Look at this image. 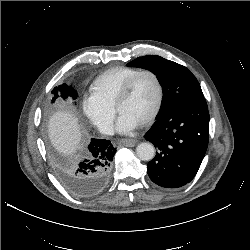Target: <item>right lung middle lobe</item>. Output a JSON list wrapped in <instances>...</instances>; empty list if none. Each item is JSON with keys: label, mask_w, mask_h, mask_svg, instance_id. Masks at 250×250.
Returning a JSON list of instances; mask_svg holds the SVG:
<instances>
[{"label": "right lung middle lobe", "mask_w": 250, "mask_h": 250, "mask_svg": "<svg viewBox=\"0 0 250 250\" xmlns=\"http://www.w3.org/2000/svg\"><path fill=\"white\" fill-rule=\"evenodd\" d=\"M52 93L54 95L52 102H54L59 96H61L63 99L67 98L68 96H71L73 99L77 98V93L71 86H68L67 84H62L59 87H55L52 90Z\"/></svg>", "instance_id": "dd1d6c3e"}]
</instances>
